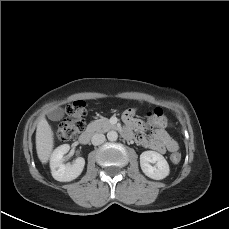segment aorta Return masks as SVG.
I'll list each match as a JSON object with an SVG mask.
<instances>
[{
    "mask_svg": "<svg viewBox=\"0 0 229 229\" xmlns=\"http://www.w3.org/2000/svg\"><path fill=\"white\" fill-rule=\"evenodd\" d=\"M107 138L109 141H116L118 138V133L116 131H109L107 133Z\"/></svg>",
    "mask_w": 229,
    "mask_h": 229,
    "instance_id": "762f6f07",
    "label": "aorta"
}]
</instances>
